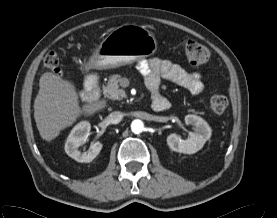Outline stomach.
Returning <instances> with one entry per match:
<instances>
[{"label":"stomach","mask_w":277,"mask_h":218,"mask_svg":"<svg viewBox=\"0 0 277 218\" xmlns=\"http://www.w3.org/2000/svg\"><path fill=\"white\" fill-rule=\"evenodd\" d=\"M157 41L150 31L137 24L112 30L95 49L88 68L113 69L154 54Z\"/></svg>","instance_id":"0dacf381"}]
</instances>
